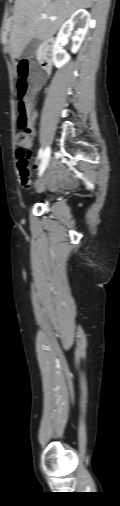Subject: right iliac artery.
I'll return each mask as SVG.
<instances>
[{"mask_svg": "<svg viewBox=\"0 0 120 506\" xmlns=\"http://www.w3.org/2000/svg\"><path fill=\"white\" fill-rule=\"evenodd\" d=\"M44 153L45 151H43V149H40L39 150V153H38V159H42L43 156H44ZM48 165V159H46L43 163H42V166H41V170H40V175L43 173V171L45 170V168L47 167Z\"/></svg>", "mask_w": 120, "mask_h": 506, "instance_id": "82829eb1", "label": "right iliac artery"}]
</instances>
